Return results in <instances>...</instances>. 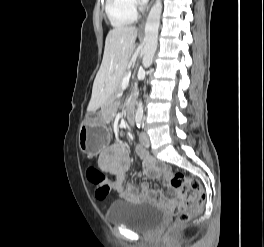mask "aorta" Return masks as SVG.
I'll return each instance as SVG.
<instances>
[{
	"mask_svg": "<svg viewBox=\"0 0 264 247\" xmlns=\"http://www.w3.org/2000/svg\"><path fill=\"white\" fill-rule=\"evenodd\" d=\"M162 0H156L152 6L147 21L145 24V45L143 48V67L148 68L151 66L153 56L157 49L158 43V30L160 26V18L162 13ZM143 118V104L142 101L137 103L135 120L140 121Z\"/></svg>",
	"mask_w": 264,
	"mask_h": 247,
	"instance_id": "1",
	"label": "aorta"
}]
</instances>
